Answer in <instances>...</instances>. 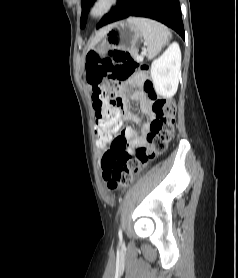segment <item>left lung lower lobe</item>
<instances>
[{"label":"left lung lower lobe","instance_id":"obj_1","mask_svg":"<svg viewBox=\"0 0 238 278\" xmlns=\"http://www.w3.org/2000/svg\"><path fill=\"white\" fill-rule=\"evenodd\" d=\"M131 16L162 22L185 38L179 0H118L114 11L106 14L97 28Z\"/></svg>","mask_w":238,"mask_h":278}]
</instances>
